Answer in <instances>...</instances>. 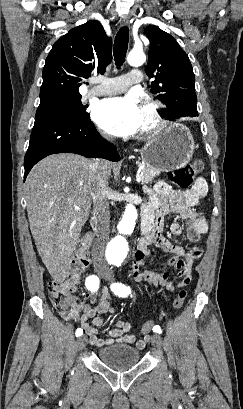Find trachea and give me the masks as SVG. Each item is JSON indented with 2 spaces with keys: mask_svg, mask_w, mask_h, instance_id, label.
<instances>
[{
  "mask_svg": "<svg viewBox=\"0 0 243 409\" xmlns=\"http://www.w3.org/2000/svg\"><path fill=\"white\" fill-rule=\"evenodd\" d=\"M129 30L127 26L120 28L114 41V60L117 68H120L126 57L128 48Z\"/></svg>",
  "mask_w": 243,
  "mask_h": 409,
  "instance_id": "1",
  "label": "trachea"
}]
</instances>
